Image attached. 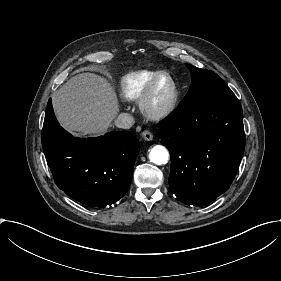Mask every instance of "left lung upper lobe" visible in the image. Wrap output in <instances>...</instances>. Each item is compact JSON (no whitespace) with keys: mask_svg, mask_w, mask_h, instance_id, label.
Listing matches in <instances>:
<instances>
[{"mask_svg":"<svg viewBox=\"0 0 281 281\" xmlns=\"http://www.w3.org/2000/svg\"><path fill=\"white\" fill-rule=\"evenodd\" d=\"M190 69L192 82L187 95L179 106L196 104L217 98L233 97L234 93L214 72L186 64Z\"/></svg>","mask_w":281,"mask_h":281,"instance_id":"5c2ea615","label":"left lung upper lobe"}]
</instances>
